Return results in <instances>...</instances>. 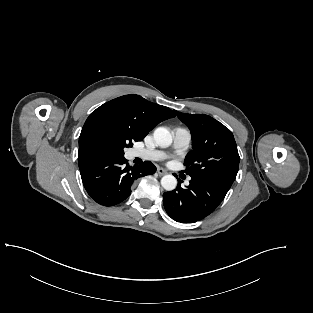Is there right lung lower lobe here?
Listing matches in <instances>:
<instances>
[{
    "label": "right lung lower lobe",
    "mask_w": 313,
    "mask_h": 313,
    "mask_svg": "<svg viewBox=\"0 0 313 313\" xmlns=\"http://www.w3.org/2000/svg\"><path fill=\"white\" fill-rule=\"evenodd\" d=\"M79 169L89 196L104 206H113L125 200L138 178L156 171V167L149 161L132 167L124 157L111 156H97L80 161Z\"/></svg>",
    "instance_id": "98d812e1"
}]
</instances>
